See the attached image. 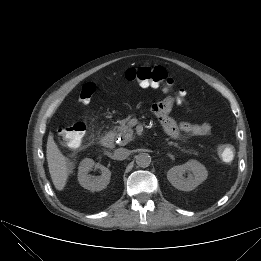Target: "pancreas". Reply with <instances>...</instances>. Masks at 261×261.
<instances>
[{
	"label": "pancreas",
	"mask_w": 261,
	"mask_h": 261,
	"mask_svg": "<svg viewBox=\"0 0 261 261\" xmlns=\"http://www.w3.org/2000/svg\"><path fill=\"white\" fill-rule=\"evenodd\" d=\"M115 132L117 136L122 137L123 141L121 142L122 145L127 144L129 141L132 140L133 136V130L130 123V117L123 119L120 122V126L115 127ZM168 141V139H167ZM168 144L177 148H180L177 143H174L172 141H168ZM186 153L197 155L198 152L192 149L185 150Z\"/></svg>",
	"instance_id": "1"
}]
</instances>
